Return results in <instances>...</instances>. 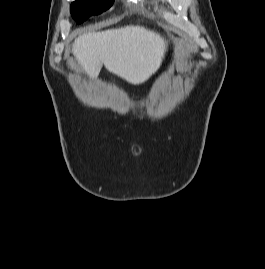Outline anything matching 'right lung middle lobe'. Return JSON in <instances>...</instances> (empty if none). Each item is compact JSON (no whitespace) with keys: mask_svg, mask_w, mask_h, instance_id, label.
Segmentation results:
<instances>
[{"mask_svg":"<svg viewBox=\"0 0 265 269\" xmlns=\"http://www.w3.org/2000/svg\"><path fill=\"white\" fill-rule=\"evenodd\" d=\"M114 0H76L71 4V14L78 22H84L92 15H98L110 8Z\"/></svg>","mask_w":265,"mask_h":269,"instance_id":"dd1d6c3e","label":"right lung middle lobe"}]
</instances>
